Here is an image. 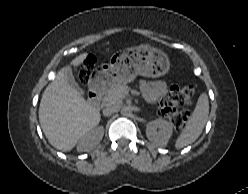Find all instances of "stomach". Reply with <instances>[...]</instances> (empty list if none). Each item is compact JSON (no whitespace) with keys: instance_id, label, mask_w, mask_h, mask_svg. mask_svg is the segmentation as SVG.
Returning <instances> with one entry per match:
<instances>
[{"instance_id":"stomach-1","label":"stomach","mask_w":248,"mask_h":194,"mask_svg":"<svg viewBox=\"0 0 248 194\" xmlns=\"http://www.w3.org/2000/svg\"><path fill=\"white\" fill-rule=\"evenodd\" d=\"M166 54L151 45H141L119 55L113 54L103 68V86L132 82L137 75L160 77L169 71Z\"/></svg>"}]
</instances>
